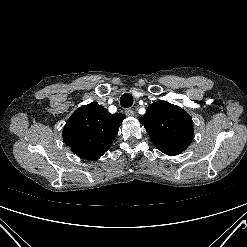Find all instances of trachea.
Listing matches in <instances>:
<instances>
[{
  "mask_svg": "<svg viewBox=\"0 0 247 247\" xmlns=\"http://www.w3.org/2000/svg\"><path fill=\"white\" fill-rule=\"evenodd\" d=\"M120 104L124 108H130L133 104V96L129 93H125L120 98Z\"/></svg>",
  "mask_w": 247,
  "mask_h": 247,
  "instance_id": "3493384b",
  "label": "trachea"
}]
</instances>
